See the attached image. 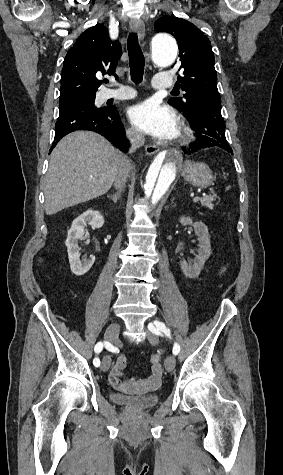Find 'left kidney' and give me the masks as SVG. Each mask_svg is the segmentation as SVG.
<instances>
[{
  "instance_id": "obj_1",
  "label": "left kidney",
  "mask_w": 283,
  "mask_h": 475,
  "mask_svg": "<svg viewBox=\"0 0 283 475\" xmlns=\"http://www.w3.org/2000/svg\"><path fill=\"white\" fill-rule=\"evenodd\" d=\"M180 224H182V226H193L195 234L198 236V255L192 259L193 263H191V261H185V259H181L179 263L186 277H193V279H195V277H198L201 269H203L204 263L211 253L208 228L203 222H194L193 224L191 218H185V216L180 218Z\"/></svg>"
}]
</instances>
